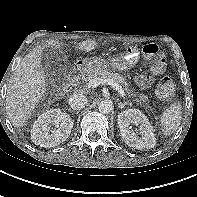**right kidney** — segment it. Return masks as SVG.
<instances>
[{"label":"right kidney","mask_w":197,"mask_h":197,"mask_svg":"<svg viewBox=\"0 0 197 197\" xmlns=\"http://www.w3.org/2000/svg\"><path fill=\"white\" fill-rule=\"evenodd\" d=\"M73 125V120L67 113L60 109H51L41 114L34 122L31 139L40 147H55L69 137Z\"/></svg>","instance_id":"right-kidney-1"}]
</instances>
